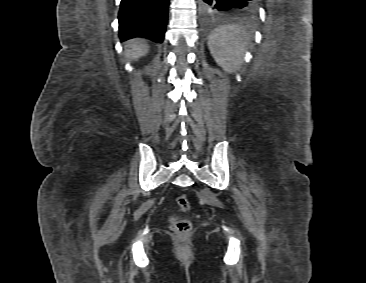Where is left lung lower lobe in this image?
I'll return each mask as SVG.
<instances>
[{
	"label": "left lung lower lobe",
	"mask_w": 366,
	"mask_h": 283,
	"mask_svg": "<svg viewBox=\"0 0 366 283\" xmlns=\"http://www.w3.org/2000/svg\"><path fill=\"white\" fill-rule=\"evenodd\" d=\"M200 9L206 16L228 15L239 10L250 11L259 0H199Z\"/></svg>",
	"instance_id": "left-lung-lower-lobe-1"
}]
</instances>
